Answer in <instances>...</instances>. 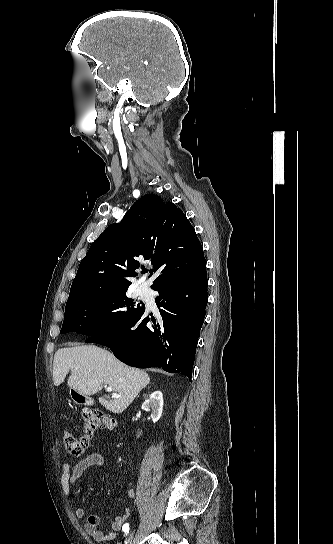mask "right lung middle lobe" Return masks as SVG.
<instances>
[{"instance_id": "obj_1", "label": "right lung middle lobe", "mask_w": 333, "mask_h": 544, "mask_svg": "<svg viewBox=\"0 0 333 544\" xmlns=\"http://www.w3.org/2000/svg\"><path fill=\"white\" fill-rule=\"evenodd\" d=\"M126 291L94 293L67 301L60 333L77 332L91 337L128 324L145 310V305L129 299Z\"/></svg>"}]
</instances>
